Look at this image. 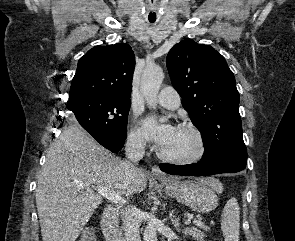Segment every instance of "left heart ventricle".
<instances>
[{"label": "left heart ventricle", "mask_w": 295, "mask_h": 241, "mask_svg": "<svg viewBox=\"0 0 295 241\" xmlns=\"http://www.w3.org/2000/svg\"><path fill=\"white\" fill-rule=\"evenodd\" d=\"M196 141L193 134L189 131L176 129L172 140L162 148V151L175 157H187L196 151Z\"/></svg>", "instance_id": "1"}]
</instances>
